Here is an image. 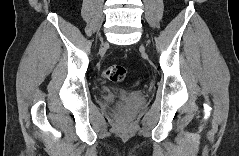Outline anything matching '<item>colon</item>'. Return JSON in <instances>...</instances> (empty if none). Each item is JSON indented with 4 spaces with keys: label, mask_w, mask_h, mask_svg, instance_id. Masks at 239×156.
I'll use <instances>...</instances> for the list:
<instances>
[{
    "label": "colon",
    "mask_w": 239,
    "mask_h": 156,
    "mask_svg": "<svg viewBox=\"0 0 239 156\" xmlns=\"http://www.w3.org/2000/svg\"><path fill=\"white\" fill-rule=\"evenodd\" d=\"M126 76V69L120 65L109 66L104 69L103 77L112 82H120Z\"/></svg>",
    "instance_id": "colon-1"
}]
</instances>
